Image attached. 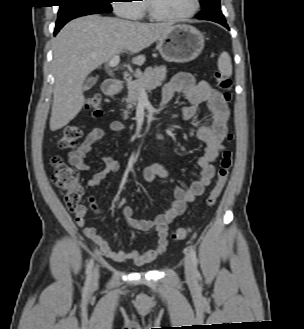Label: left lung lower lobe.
<instances>
[{
  "label": "left lung lower lobe",
  "mask_w": 304,
  "mask_h": 329,
  "mask_svg": "<svg viewBox=\"0 0 304 329\" xmlns=\"http://www.w3.org/2000/svg\"><path fill=\"white\" fill-rule=\"evenodd\" d=\"M220 8V0H211L207 5L202 7V10L198 13L197 18L200 20L217 22L229 29Z\"/></svg>",
  "instance_id": "obj_1"
}]
</instances>
